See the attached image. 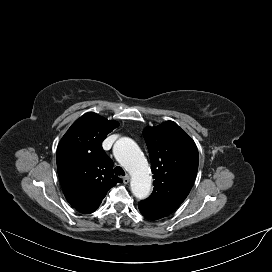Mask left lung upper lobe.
I'll list each match as a JSON object with an SVG mask.
<instances>
[{
    "label": "left lung upper lobe",
    "instance_id": "5c2ea615",
    "mask_svg": "<svg viewBox=\"0 0 272 272\" xmlns=\"http://www.w3.org/2000/svg\"><path fill=\"white\" fill-rule=\"evenodd\" d=\"M154 190L138 203L139 208L163 218L176 210L189 194L198 170V150L194 141L173 121L144 132Z\"/></svg>",
    "mask_w": 272,
    "mask_h": 272
}]
</instances>
